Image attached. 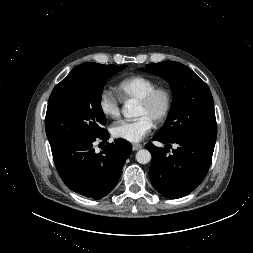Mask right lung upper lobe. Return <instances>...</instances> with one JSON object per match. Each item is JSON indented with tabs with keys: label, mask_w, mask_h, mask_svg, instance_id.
<instances>
[{
	"label": "right lung upper lobe",
	"mask_w": 253,
	"mask_h": 253,
	"mask_svg": "<svg viewBox=\"0 0 253 253\" xmlns=\"http://www.w3.org/2000/svg\"><path fill=\"white\" fill-rule=\"evenodd\" d=\"M95 65H98L97 63H93V62H87V63H84V64H81L75 68H78V67H84V66H95Z\"/></svg>",
	"instance_id": "cb5924a9"
}]
</instances>
